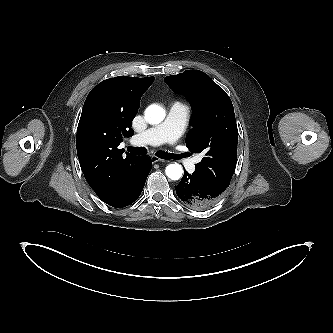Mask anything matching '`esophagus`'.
<instances>
[{"mask_svg":"<svg viewBox=\"0 0 333 333\" xmlns=\"http://www.w3.org/2000/svg\"><path fill=\"white\" fill-rule=\"evenodd\" d=\"M151 161H152V163H156V162H164V160L163 159H161V158H159V157H157V156H151Z\"/></svg>","mask_w":333,"mask_h":333,"instance_id":"1","label":"esophagus"}]
</instances>
